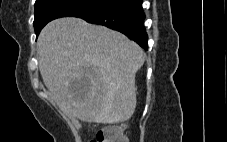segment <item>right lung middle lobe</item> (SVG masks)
Listing matches in <instances>:
<instances>
[{"label":"right lung middle lobe","mask_w":227,"mask_h":142,"mask_svg":"<svg viewBox=\"0 0 227 142\" xmlns=\"http://www.w3.org/2000/svg\"><path fill=\"white\" fill-rule=\"evenodd\" d=\"M111 0H36L35 2V33L38 35L41 29L51 20L78 16L90 10L105 6Z\"/></svg>","instance_id":"obj_1"}]
</instances>
